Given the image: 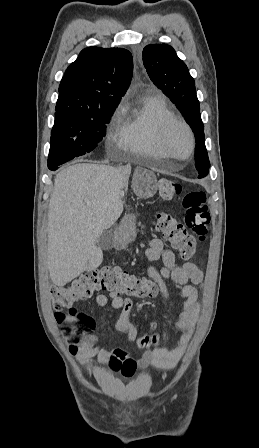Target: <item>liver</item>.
<instances>
[{
    "instance_id": "liver-1",
    "label": "liver",
    "mask_w": 259,
    "mask_h": 448,
    "mask_svg": "<svg viewBox=\"0 0 259 448\" xmlns=\"http://www.w3.org/2000/svg\"><path fill=\"white\" fill-rule=\"evenodd\" d=\"M130 174V166L98 164H75L57 174L49 202L47 248L55 286H65L102 264L96 242L120 218L124 202L119 194Z\"/></svg>"
}]
</instances>
